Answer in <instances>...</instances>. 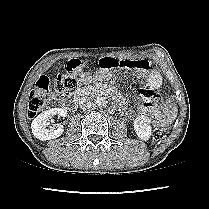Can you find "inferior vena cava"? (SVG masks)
<instances>
[{
    "label": "inferior vena cava",
    "mask_w": 209,
    "mask_h": 209,
    "mask_svg": "<svg viewBox=\"0 0 209 209\" xmlns=\"http://www.w3.org/2000/svg\"><path fill=\"white\" fill-rule=\"evenodd\" d=\"M79 106L83 110L91 109L94 104L91 97L83 96L79 99Z\"/></svg>",
    "instance_id": "obj_1"
}]
</instances>
